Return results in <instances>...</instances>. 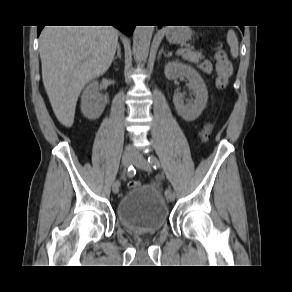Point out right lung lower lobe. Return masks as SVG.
<instances>
[{
    "label": "right lung lower lobe",
    "mask_w": 292,
    "mask_h": 292,
    "mask_svg": "<svg viewBox=\"0 0 292 292\" xmlns=\"http://www.w3.org/2000/svg\"><path fill=\"white\" fill-rule=\"evenodd\" d=\"M43 27L38 26V29H37L38 36H39L41 30L43 29ZM115 27L120 29L122 32H124L125 34L130 36V35H132L135 26L129 25V24H119V25H115Z\"/></svg>",
    "instance_id": "obj_1"
}]
</instances>
